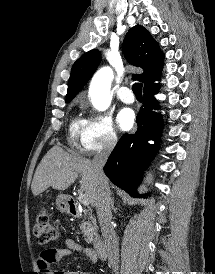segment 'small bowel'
Listing matches in <instances>:
<instances>
[{"instance_id":"c3829d8e","label":"small bowel","mask_w":215,"mask_h":274,"mask_svg":"<svg viewBox=\"0 0 215 274\" xmlns=\"http://www.w3.org/2000/svg\"><path fill=\"white\" fill-rule=\"evenodd\" d=\"M65 247H42V250L38 257V266L41 272H45L46 274H92L91 272H79V271H65V272H55L52 269V266L58 262H60L63 258L72 256L75 253H83L85 254L92 265L97 263L98 257L92 248L82 246L77 241L71 238L64 239Z\"/></svg>"}]
</instances>
